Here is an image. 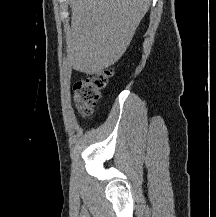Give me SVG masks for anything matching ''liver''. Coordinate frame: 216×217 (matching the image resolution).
Wrapping results in <instances>:
<instances>
[{
    "label": "liver",
    "instance_id": "1",
    "mask_svg": "<svg viewBox=\"0 0 216 217\" xmlns=\"http://www.w3.org/2000/svg\"><path fill=\"white\" fill-rule=\"evenodd\" d=\"M151 0H70L67 56L86 74L108 68L126 51Z\"/></svg>",
    "mask_w": 216,
    "mask_h": 217
}]
</instances>
